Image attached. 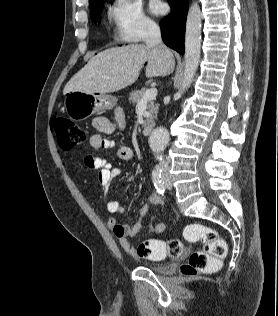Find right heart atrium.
Listing matches in <instances>:
<instances>
[{
	"instance_id": "1",
	"label": "right heart atrium",
	"mask_w": 278,
	"mask_h": 316,
	"mask_svg": "<svg viewBox=\"0 0 278 316\" xmlns=\"http://www.w3.org/2000/svg\"><path fill=\"white\" fill-rule=\"evenodd\" d=\"M107 16L112 35L119 42L141 41L157 27L136 0H113L108 7Z\"/></svg>"
}]
</instances>
